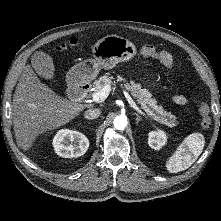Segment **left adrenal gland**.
Returning a JSON list of instances; mask_svg holds the SVG:
<instances>
[{
    "label": "left adrenal gland",
    "instance_id": "a2214340",
    "mask_svg": "<svg viewBox=\"0 0 221 221\" xmlns=\"http://www.w3.org/2000/svg\"><path fill=\"white\" fill-rule=\"evenodd\" d=\"M134 115H136V125H138L139 122L141 121V116L137 113H134Z\"/></svg>",
    "mask_w": 221,
    "mask_h": 221
}]
</instances>
